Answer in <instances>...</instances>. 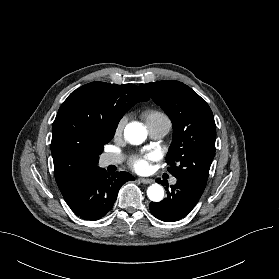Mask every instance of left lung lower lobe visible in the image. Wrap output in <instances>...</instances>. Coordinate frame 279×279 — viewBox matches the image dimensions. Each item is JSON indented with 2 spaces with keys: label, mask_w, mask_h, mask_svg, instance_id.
<instances>
[{
  "label": "left lung lower lobe",
  "mask_w": 279,
  "mask_h": 279,
  "mask_svg": "<svg viewBox=\"0 0 279 279\" xmlns=\"http://www.w3.org/2000/svg\"><path fill=\"white\" fill-rule=\"evenodd\" d=\"M204 189L195 183L178 179L177 183L171 186L170 191L167 188V198L159 203L151 202L149 204L150 211L159 220L178 221L192 211Z\"/></svg>",
  "instance_id": "left-lung-lower-lobe-1"
}]
</instances>
